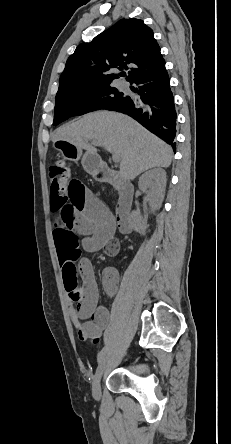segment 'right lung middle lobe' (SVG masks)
I'll return each mask as SVG.
<instances>
[{
	"mask_svg": "<svg viewBox=\"0 0 231 444\" xmlns=\"http://www.w3.org/2000/svg\"><path fill=\"white\" fill-rule=\"evenodd\" d=\"M124 97L122 92L111 87L110 84L58 94L55 98L53 125H58L71 116L99 109H110Z\"/></svg>",
	"mask_w": 231,
	"mask_h": 444,
	"instance_id": "dd1d6c3e",
	"label": "right lung middle lobe"
}]
</instances>
